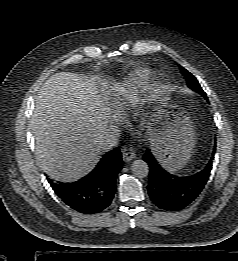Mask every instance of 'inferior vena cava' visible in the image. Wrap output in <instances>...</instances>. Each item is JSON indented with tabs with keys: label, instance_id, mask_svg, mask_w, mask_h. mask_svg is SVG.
<instances>
[{
	"label": "inferior vena cava",
	"instance_id": "602c4592",
	"mask_svg": "<svg viewBox=\"0 0 238 261\" xmlns=\"http://www.w3.org/2000/svg\"><path fill=\"white\" fill-rule=\"evenodd\" d=\"M120 130L117 126L110 124L107 128L106 135L101 142L103 151H109L118 144Z\"/></svg>",
	"mask_w": 238,
	"mask_h": 261
}]
</instances>
